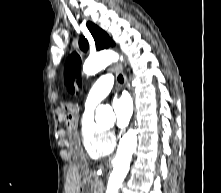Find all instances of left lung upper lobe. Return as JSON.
<instances>
[{
	"mask_svg": "<svg viewBox=\"0 0 221 193\" xmlns=\"http://www.w3.org/2000/svg\"><path fill=\"white\" fill-rule=\"evenodd\" d=\"M87 27L95 40L97 49H105L110 46H114L115 43L101 28H99L92 22H88ZM79 46L83 51H86L88 48V41L84 37H81L79 41ZM80 78L81 58L76 52H74L68 57L65 65V80L67 88L70 92L73 93L75 91L74 86L71 83L72 80H77L78 84H80Z\"/></svg>",
	"mask_w": 221,
	"mask_h": 193,
	"instance_id": "left-lung-upper-lobe-1",
	"label": "left lung upper lobe"
}]
</instances>
